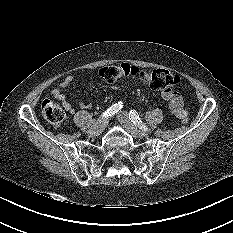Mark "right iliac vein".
Segmentation results:
<instances>
[{
    "label": "right iliac vein",
    "mask_w": 233,
    "mask_h": 233,
    "mask_svg": "<svg viewBox=\"0 0 233 233\" xmlns=\"http://www.w3.org/2000/svg\"><path fill=\"white\" fill-rule=\"evenodd\" d=\"M106 124H107V119L105 117L98 119L96 122H94L92 127L88 130V134L91 136L100 135L105 129Z\"/></svg>",
    "instance_id": "63e3f726"
}]
</instances>
